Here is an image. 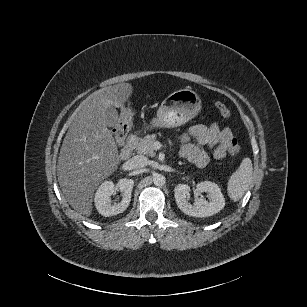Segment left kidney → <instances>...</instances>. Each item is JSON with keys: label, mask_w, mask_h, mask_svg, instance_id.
Here are the masks:
<instances>
[{"label": "left kidney", "mask_w": 307, "mask_h": 307, "mask_svg": "<svg viewBox=\"0 0 307 307\" xmlns=\"http://www.w3.org/2000/svg\"><path fill=\"white\" fill-rule=\"evenodd\" d=\"M197 188L201 192H208L210 194L209 201L199 198L191 203L188 186L181 184L175 189L176 202L185 214L195 217H207L224 208V195L217 183L205 180Z\"/></svg>", "instance_id": "1"}]
</instances>
